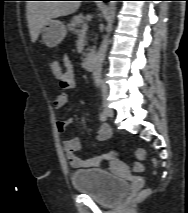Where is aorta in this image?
<instances>
[{"instance_id":"762f6f07","label":"aorta","mask_w":188,"mask_h":213,"mask_svg":"<svg viewBox=\"0 0 188 213\" xmlns=\"http://www.w3.org/2000/svg\"><path fill=\"white\" fill-rule=\"evenodd\" d=\"M117 1H110L108 5V18H107V34L103 37L102 43L98 49V52L95 55L94 61H93V80L96 87H100L102 84V66L105 59L107 47L109 44V36L110 31L112 29L116 10H117Z\"/></svg>"}]
</instances>
